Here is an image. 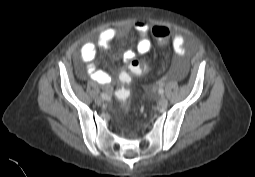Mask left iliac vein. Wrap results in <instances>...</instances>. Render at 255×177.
I'll return each instance as SVG.
<instances>
[{
	"mask_svg": "<svg viewBox=\"0 0 255 177\" xmlns=\"http://www.w3.org/2000/svg\"><path fill=\"white\" fill-rule=\"evenodd\" d=\"M158 105L160 108H165L168 105V100L162 96L158 101Z\"/></svg>",
	"mask_w": 255,
	"mask_h": 177,
	"instance_id": "obj_1",
	"label": "left iliac vein"
}]
</instances>
